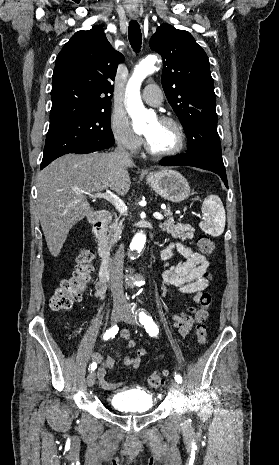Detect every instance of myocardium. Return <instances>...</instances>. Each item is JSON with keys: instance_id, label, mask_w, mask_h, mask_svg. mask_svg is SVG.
Wrapping results in <instances>:
<instances>
[{"instance_id": "1", "label": "myocardium", "mask_w": 279, "mask_h": 465, "mask_svg": "<svg viewBox=\"0 0 279 465\" xmlns=\"http://www.w3.org/2000/svg\"><path fill=\"white\" fill-rule=\"evenodd\" d=\"M158 121L162 123L171 124L175 127V129L177 130V134H178L177 144L173 149L169 151L158 152V151H155L150 146L147 138L144 136V147H145L146 152L154 158H168V157L176 156L183 150L185 143H186V134H185L183 125L177 119L171 116H160L158 118Z\"/></svg>"}]
</instances>
